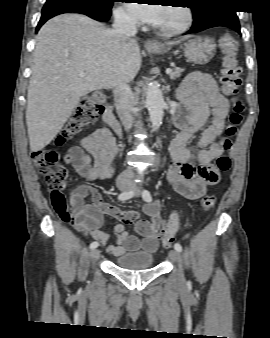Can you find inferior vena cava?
I'll use <instances>...</instances> for the list:
<instances>
[{"mask_svg":"<svg viewBox=\"0 0 270 338\" xmlns=\"http://www.w3.org/2000/svg\"><path fill=\"white\" fill-rule=\"evenodd\" d=\"M137 33L136 20L124 12L118 11L114 14V23L112 34L117 38H130ZM115 106L118 116L126 130H129L134 123V116L131 109L133 107V94L127 83H119L113 89ZM134 172L132 168L123 171L119 180L129 181L133 179Z\"/></svg>","mask_w":270,"mask_h":338,"instance_id":"inferior-vena-cava-1","label":"inferior vena cava"}]
</instances>
